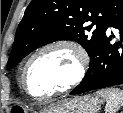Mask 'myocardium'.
Listing matches in <instances>:
<instances>
[{
    "mask_svg": "<svg viewBox=\"0 0 123 113\" xmlns=\"http://www.w3.org/2000/svg\"><path fill=\"white\" fill-rule=\"evenodd\" d=\"M54 49H65L71 52L75 59V70L73 75L66 80L60 86L54 88L53 90L49 91L45 94H34L30 92L26 85L25 77L28 70L29 65L31 62L36 59L41 54L54 50ZM89 67V55L85 47L77 42L76 40L69 39V38H60L37 48L25 61L22 70H21V84L23 89L32 97L39 98V99H48L54 95L63 93L76 85H78L86 76Z\"/></svg>",
    "mask_w": 123,
    "mask_h": 113,
    "instance_id": "obj_1",
    "label": "myocardium"
}]
</instances>
